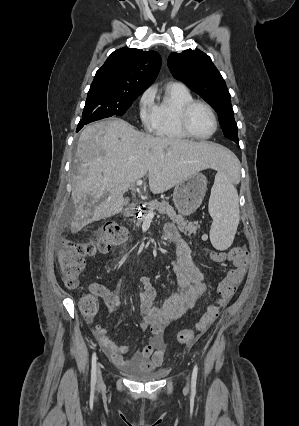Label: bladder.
<instances>
[{
  "mask_svg": "<svg viewBox=\"0 0 299 426\" xmlns=\"http://www.w3.org/2000/svg\"><path fill=\"white\" fill-rule=\"evenodd\" d=\"M124 373L136 381H157L166 375L165 369L161 367H134L125 368Z\"/></svg>",
  "mask_w": 299,
  "mask_h": 426,
  "instance_id": "1",
  "label": "bladder"
}]
</instances>
